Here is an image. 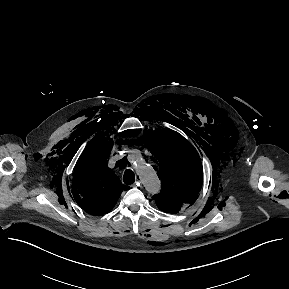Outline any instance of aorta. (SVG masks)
I'll return each instance as SVG.
<instances>
[{"instance_id": "762f6f07", "label": "aorta", "mask_w": 289, "mask_h": 289, "mask_svg": "<svg viewBox=\"0 0 289 289\" xmlns=\"http://www.w3.org/2000/svg\"><path fill=\"white\" fill-rule=\"evenodd\" d=\"M129 161L136 169L146 191L151 194L158 193L161 188V182L153 167L144 162L142 155L139 152H133L129 156Z\"/></svg>"}]
</instances>
